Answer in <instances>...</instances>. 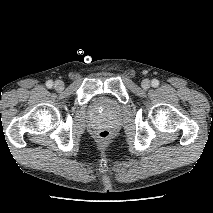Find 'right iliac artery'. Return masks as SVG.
Instances as JSON below:
<instances>
[{"label":"right iliac artery","mask_w":213,"mask_h":213,"mask_svg":"<svg viewBox=\"0 0 213 213\" xmlns=\"http://www.w3.org/2000/svg\"><path fill=\"white\" fill-rule=\"evenodd\" d=\"M46 86H47L48 88H52L53 82H52L51 80L47 81V82H46Z\"/></svg>","instance_id":"right-iliac-artery-1"}]
</instances>
